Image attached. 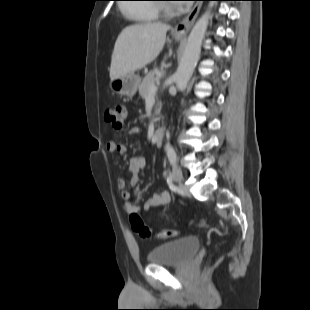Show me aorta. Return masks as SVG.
Wrapping results in <instances>:
<instances>
[{
    "label": "aorta",
    "mask_w": 310,
    "mask_h": 310,
    "mask_svg": "<svg viewBox=\"0 0 310 310\" xmlns=\"http://www.w3.org/2000/svg\"><path fill=\"white\" fill-rule=\"evenodd\" d=\"M214 2L209 4L207 10L193 26L187 40V44L175 74V82L178 89L186 88L199 59L202 41L207 29L208 20L211 17V8Z\"/></svg>",
    "instance_id": "1"
}]
</instances>
